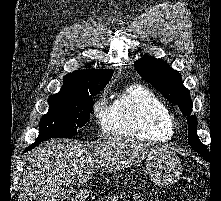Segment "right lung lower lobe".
Instances as JSON below:
<instances>
[{
  "mask_svg": "<svg viewBox=\"0 0 221 201\" xmlns=\"http://www.w3.org/2000/svg\"><path fill=\"white\" fill-rule=\"evenodd\" d=\"M41 142H42V141H41ZM41 142L35 141L31 146L27 147V148L25 149V151H28V150L33 149L34 147H36V146H37L39 143H41Z\"/></svg>",
  "mask_w": 221,
  "mask_h": 201,
  "instance_id": "right-lung-lower-lobe-1",
  "label": "right lung lower lobe"
}]
</instances>
